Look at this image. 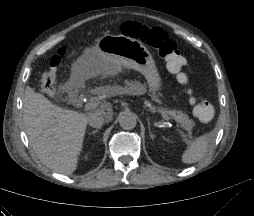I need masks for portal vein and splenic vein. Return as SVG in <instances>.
<instances>
[{
    "instance_id": "obj_1",
    "label": "portal vein and splenic vein",
    "mask_w": 254,
    "mask_h": 216,
    "mask_svg": "<svg viewBox=\"0 0 254 216\" xmlns=\"http://www.w3.org/2000/svg\"><path fill=\"white\" fill-rule=\"evenodd\" d=\"M98 106H99V103H98V102H96V101H91V102H88L87 104H85L84 109H85V111H88V110L95 109V108H97ZM160 115H161V117H162L164 120H166V121H171V118H170L168 115H166L165 113H161Z\"/></svg>"
}]
</instances>
